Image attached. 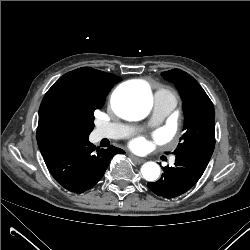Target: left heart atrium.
<instances>
[{
  "instance_id": "39dd6f15",
  "label": "left heart atrium",
  "mask_w": 250,
  "mask_h": 250,
  "mask_svg": "<svg viewBox=\"0 0 250 250\" xmlns=\"http://www.w3.org/2000/svg\"><path fill=\"white\" fill-rule=\"evenodd\" d=\"M148 142L145 138L139 137L131 142V147L136 151H142L146 149Z\"/></svg>"
}]
</instances>
